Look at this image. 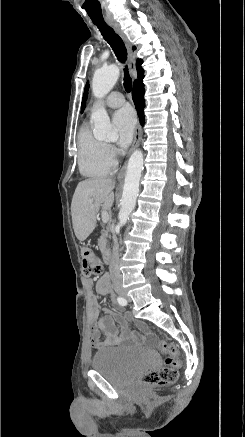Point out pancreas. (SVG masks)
<instances>
[{
    "label": "pancreas",
    "mask_w": 245,
    "mask_h": 437,
    "mask_svg": "<svg viewBox=\"0 0 245 437\" xmlns=\"http://www.w3.org/2000/svg\"><path fill=\"white\" fill-rule=\"evenodd\" d=\"M106 234H107V231L103 230V235L98 240V245H99L101 251L105 250V248H106V244H107Z\"/></svg>",
    "instance_id": "1"
}]
</instances>
